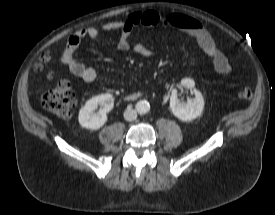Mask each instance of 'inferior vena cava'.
I'll return each instance as SVG.
<instances>
[{"instance_id": "1", "label": "inferior vena cava", "mask_w": 275, "mask_h": 215, "mask_svg": "<svg viewBox=\"0 0 275 215\" xmlns=\"http://www.w3.org/2000/svg\"><path fill=\"white\" fill-rule=\"evenodd\" d=\"M137 118V112L134 109H127L124 112V119L127 121H134Z\"/></svg>"}]
</instances>
